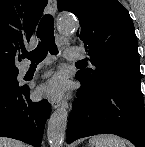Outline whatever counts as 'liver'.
Here are the masks:
<instances>
[{
    "label": "liver",
    "mask_w": 145,
    "mask_h": 147,
    "mask_svg": "<svg viewBox=\"0 0 145 147\" xmlns=\"http://www.w3.org/2000/svg\"><path fill=\"white\" fill-rule=\"evenodd\" d=\"M0 147H25V145L10 138L0 137Z\"/></svg>",
    "instance_id": "obj_1"
}]
</instances>
